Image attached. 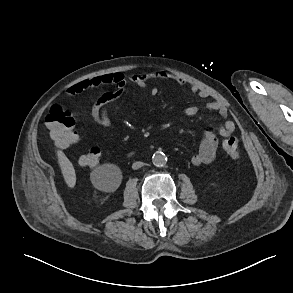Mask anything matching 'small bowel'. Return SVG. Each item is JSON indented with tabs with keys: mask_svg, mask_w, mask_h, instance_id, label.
Masks as SVG:
<instances>
[{
	"mask_svg": "<svg viewBox=\"0 0 293 293\" xmlns=\"http://www.w3.org/2000/svg\"><path fill=\"white\" fill-rule=\"evenodd\" d=\"M150 79L173 80L180 86L186 85V81L183 78L170 74L166 71L134 75L130 78V81L136 86L144 88L147 85V81ZM126 84L127 80L123 74L109 73L82 80L71 86L67 90V93L68 95L73 96L88 88L112 87V89L106 90L94 102L90 111L91 117L95 123L102 127H109L112 124V119L110 117L108 107L122 95L126 88ZM190 89L192 93L196 94L200 98L207 99L210 97V93L207 90L196 84L191 85ZM151 94L157 95L158 89L152 88ZM201 111H215L218 112L223 118L227 116L226 107L218 101H208L202 104L188 106L184 113L187 117H193ZM235 128V123L232 120H227L218 128V134L222 137L229 136L235 131ZM217 148V133L213 130H206L203 133L198 152L191 158L192 164L198 166L212 163L216 157Z\"/></svg>",
	"mask_w": 293,
	"mask_h": 293,
	"instance_id": "1",
	"label": "small bowel"
}]
</instances>
